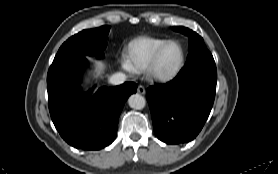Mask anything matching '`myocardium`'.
Listing matches in <instances>:
<instances>
[{"label": "myocardium", "instance_id": "f54148a6", "mask_svg": "<svg viewBox=\"0 0 278 174\" xmlns=\"http://www.w3.org/2000/svg\"><path fill=\"white\" fill-rule=\"evenodd\" d=\"M171 44L178 45V47L180 49V53H181L180 61L173 70H171L169 72H163L159 69V58H160V55L163 52V50L168 45H171ZM185 58H186V56H185V50H184L183 45L177 40H167L163 44H161L154 52V54L150 60L148 69H147L148 74L152 79H154L158 82H162V83L169 82V81L173 80L175 77H177V75L181 72V70L183 69L184 64H185Z\"/></svg>", "mask_w": 278, "mask_h": 174}]
</instances>
